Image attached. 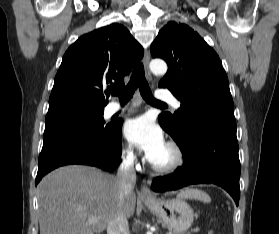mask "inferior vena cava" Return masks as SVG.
<instances>
[{
  "instance_id": "obj_1",
  "label": "inferior vena cava",
  "mask_w": 279,
  "mask_h": 234,
  "mask_svg": "<svg viewBox=\"0 0 279 234\" xmlns=\"http://www.w3.org/2000/svg\"><path fill=\"white\" fill-rule=\"evenodd\" d=\"M116 181L119 184L120 200H122L124 196L133 190L136 184V172L131 158H127L121 163ZM107 234H130L127 217L123 214H118L108 223Z\"/></svg>"
}]
</instances>
